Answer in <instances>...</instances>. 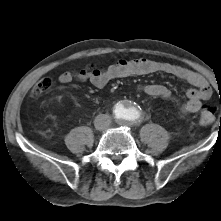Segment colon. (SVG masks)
I'll return each instance as SVG.
<instances>
[{"label": "colon", "mask_w": 221, "mask_h": 221, "mask_svg": "<svg viewBox=\"0 0 221 221\" xmlns=\"http://www.w3.org/2000/svg\"><path fill=\"white\" fill-rule=\"evenodd\" d=\"M53 85V80L49 77L42 78L32 89L31 94L34 97L41 96L47 93ZM216 113L214 108L204 106L200 109L198 114V121L201 125L208 126L214 123Z\"/></svg>", "instance_id": "colon-1"}]
</instances>
